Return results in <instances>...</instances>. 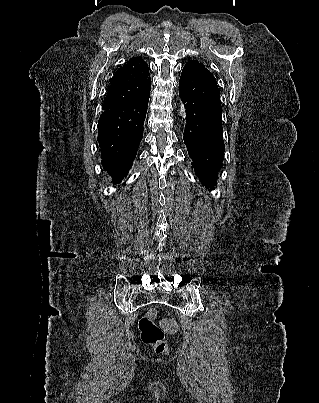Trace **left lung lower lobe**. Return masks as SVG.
<instances>
[{
  "label": "left lung lower lobe",
  "mask_w": 319,
  "mask_h": 403,
  "mask_svg": "<svg viewBox=\"0 0 319 403\" xmlns=\"http://www.w3.org/2000/svg\"><path fill=\"white\" fill-rule=\"evenodd\" d=\"M179 95L186 109L184 143L192 167L207 189L217 185L218 171L224 159L222 113L219 89L213 74L185 65Z\"/></svg>",
  "instance_id": "obj_1"
}]
</instances>
